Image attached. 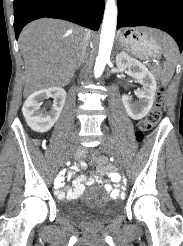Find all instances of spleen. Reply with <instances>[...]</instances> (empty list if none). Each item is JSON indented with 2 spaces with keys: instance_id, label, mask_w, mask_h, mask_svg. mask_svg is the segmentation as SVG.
<instances>
[{
  "instance_id": "1",
  "label": "spleen",
  "mask_w": 183,
  "mask_h": 246,
  "mask_svg": "<svg viewBox=\"0 0 183 246\" xmlns=\"http://www.w3.org/2000/svg\"><path fill=\"white\" fill-rule=\"evenodd\" d=\"M153 35L158 42L162 43V53L165 57V65L160 75V80L163 85H167L175 71L178 47L169 35L161 31L154 30Z\"/></svg>"
}]
</instances>
